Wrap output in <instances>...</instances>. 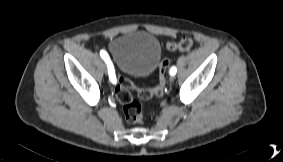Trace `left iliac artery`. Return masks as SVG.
I'll return each mask as SVG.
<instances>
[{"label": "left iliac artery", "instance_id": "1", "mask_svg": "<svg viewBox=\"0 0 283 162\" xmlns=\"http://www.w3.org/2000/svg\"><path fill=\"white\" fill-rule=\"evenodd\" d=\"M177 72V69L175 66H173L171 69H170V75H175Z\"/></svg>", "mask_w": 283, "mask_h": 162}]
</instances>
